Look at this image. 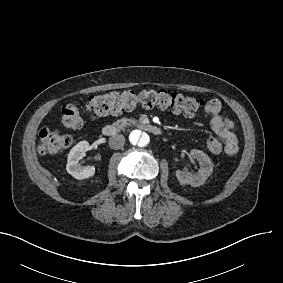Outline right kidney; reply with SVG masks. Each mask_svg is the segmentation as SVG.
<instances>
[{"label": "right kidney", "mask_w": 283, "mask_h": 283, "mask_svg": "<svg viewBox=\"0 0 283 283\" xmlns=\"http://www.w3.org/2000/svg\"><path fill=\"white\" fill-rule=\"evenodd\" d=\"M90 146L87 141H81L74 146L68 156L66 170L69 174L77 179L90 177L95 172V166H81L78 162L83 151L89 150Z\"/></svg>", "instance_id": "ca27d5eb"}]
</instances>
